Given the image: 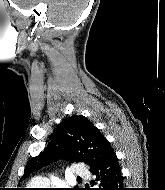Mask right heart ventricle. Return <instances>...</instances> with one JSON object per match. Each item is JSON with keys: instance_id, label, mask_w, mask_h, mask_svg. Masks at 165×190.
Returning a JSON list of instances; mask_svg holds the SVG:
<instances>
[{"instance_id": "e07e8e85", "label": "right heart ventricle", "mask_w": 165, "mask_h": 190, "mask_svg": "<svg viewBox=\"0 0 165 190\" xmlns=\"http://www.w3.org/2000/svg\"><path fill=\"white\" fill-rule=\"evenodd\" d=\"M32 184H33L34 186L45 185V183L40 182V181L34 182V183H32Z\"/></svg>"}]
</instances>
